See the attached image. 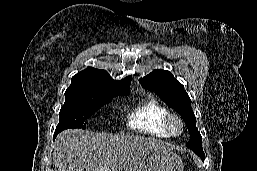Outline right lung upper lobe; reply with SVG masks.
Segmentation results:
<instances>
[{
  "label": "right lung upper lobe",
  "mask_w": 257,
  "mask_h": 171,
  "mask_svg": "<svg viewBox=\"0 0 257 171\" xmlns=\"http://www.w3.org/2000/svg\"><path fill=\"white\" fill-rule=\"evenodd\" d=\"M130 83V76L116 81L110 77L107 71L88 67L72 77L69 88L96 89L117 94H128Z\"/></svg>",
  "instance_id": "cb5924a9"
}]
</instances>
